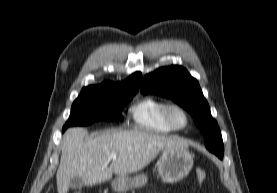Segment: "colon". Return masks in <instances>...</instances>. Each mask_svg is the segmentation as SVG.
<instances>
[{
	"label": "colon",
	"mask_w": 277,
	"mask_h": 193,
	"mask_svg": "<svg viewBox=\"0 0 277 193\" xmlns=\"http://www.w3.org/2000/svg\"><path fill=\"white\" fill-rule=\"evenodd\" d=\"M196 176L199 182H204L206 179V172L203 169H197ZM74 193H80V192H74Z\"/></svg>",
	"instance_id": "1"
}]
</instances>
